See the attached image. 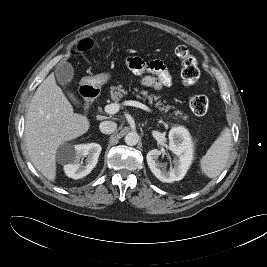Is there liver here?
<instances>
[{"instance_id": "6515ba94", "label": "liver", "mask_w": 267, "mask_h": 267, "mask_svg": "<svg viewBox=\"0 0 267 267\" xmlns=\"http://www.w3.org/2000/svg\"><path fill=\"white\" fill-rule=\"evenodd\" d=\"M89 128V119L74 113L51 73L34 93L25 119V142L34 167L54 181L58 147L85 134Z\"/></svg>"}]
</instances>
